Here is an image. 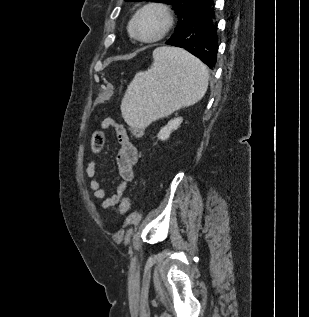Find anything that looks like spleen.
Here are the masks:
<instances>
[{
    "label": "spleen",
    "mask_w": 309,
    "mask_h": 317,
    "mask_svg": "<svg viewBox=\"0 0 309 317\" xmlns=\"http://www.w3.org/2000/svg\"><path fill=\"white\" fill-rule=\"evenodd\" d=\"M152 56L151 67L136 73L122 100V116L131 126L146 127L194 105L208 88L207 67L187 51L163 46Z\"/></svg>",
    "instance_id": "3e777b00"
}]
</instances>
